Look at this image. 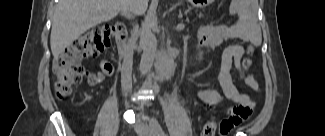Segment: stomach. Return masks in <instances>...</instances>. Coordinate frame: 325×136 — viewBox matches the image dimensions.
I'll return each mask as SVG.
<instances>
[{"label":"stomach","mask_w":325,"mask_h":136,"mask_svg":"<svg viewBox=\"0 0 325 136\" xmlns=\"http://www.w3.org/2000/svg\"><path fill=\"white\" fill-rule=\"evenodd\" d=\"M212 1L213 0H190L191 4L196 7H204Z\"/></svg>","instance_id":"0dacf381"}]
</instances>
